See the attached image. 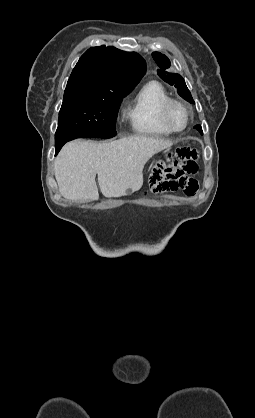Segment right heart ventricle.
Here are the masks:
<instances>
[{"label":"right heart ventricle","mask_w":255,"mask_h":418,"mask_svg":"<svg viewBox=\"0 0 255 418\" xmlns=\"http://www.w3.org/2000/svg\"><path fill=\"white\" fill-rule=\"evenodd\" d=\"M170 98L158 81H148L135 94L127 109V118L134 133L144 136H165L172 132L161 121L163 104Z\"/></svg>","instance_id":"e07e8e85"}]
</instances>
